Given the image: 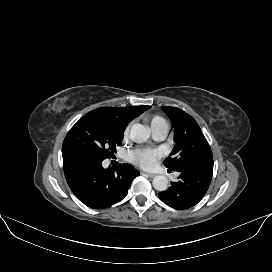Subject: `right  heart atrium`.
Masks as SVG:
<instances>
[{"mask_svg": "<svg viewBox=\"0 0 272 272\" xmlns=\"http://www.w3.org/2000/svg\"><path fill=\"white\" fill-rule=\"evenodd\" d=\"M130 130V125H127L123 131V137L127 138Z\"/></svg>", "mask_w": 272, "mask_h": 272, "instance_id": "1", "label": "right heart atrium"}]
</instances>
